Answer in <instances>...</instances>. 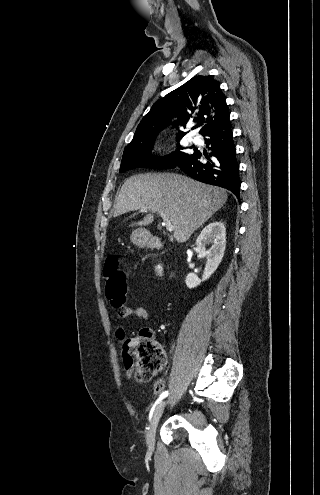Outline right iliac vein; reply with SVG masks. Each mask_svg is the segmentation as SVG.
I'll list each match as a JSON object with an SVG mask.
<instances>
[{"mask_svg":"<svg viewBox=\"0 0 320 495\" xmlns=\"http://www.w3.org/2000/svg\"><path fill=\"white\" fill-rule=\"evenodd\" d=\"M166 406V401H162L155 409L151 424L148 429L147 433V445L149 450L153 451L154 446H155V434H156V429L159 423V420L163 414V411Z\"/></svg>","mask_w":320,"mask_h":495,"instance_id":"1","label":"right iliac vein"}]
</instances>
